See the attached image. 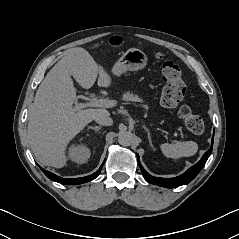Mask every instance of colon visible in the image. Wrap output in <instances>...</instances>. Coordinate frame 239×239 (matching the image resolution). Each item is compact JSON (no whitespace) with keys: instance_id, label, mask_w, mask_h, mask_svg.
<instances>
[{"instance_id":"5ec220e1","label":"colon","mask_w":239,"mask_h":239,"mask_svg":"<svg viewBox=\"0 0 239 239\" xmlns=\"http://www.w3.org/2000/svg\"><path fill=\"white\" fill-rule=\"evenodd\" d=\"M110 43L117 47L121 45L122 40L119 37H113ZM155 57L161 59L162 55L156 53ZM161 73L165 82L161 94V104L166 108L176 109L177 115L184 121L185 126L191 133L201 134L205 128L203 118L192 112L188 106H179L186 93V85L180 67L175 62L167 60L162 65Z\"/></svg>"}]
</instances>
